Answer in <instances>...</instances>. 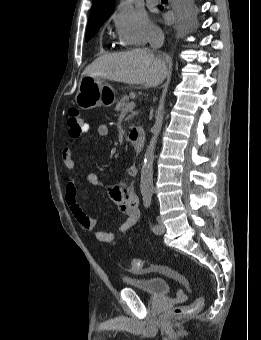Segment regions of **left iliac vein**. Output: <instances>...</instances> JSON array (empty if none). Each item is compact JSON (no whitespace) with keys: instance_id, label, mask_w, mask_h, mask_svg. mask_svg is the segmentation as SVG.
<instances>
[{"instance_id":"4c4485c4","label":"left iliac vein","mask_w":261,"mask_h":340,"mask_svg":"<svg viewBox=\"0 0 261 340\" xmlns=\"http://www.w3.org/2000/svg\"><path fill=\"white\" fill-rule=\"evenodd\" d=\"M159 229L155 232L156 234H163L166 230L165 225L163 224L161 219H158Z\"/></svg>"}]
</instances>
